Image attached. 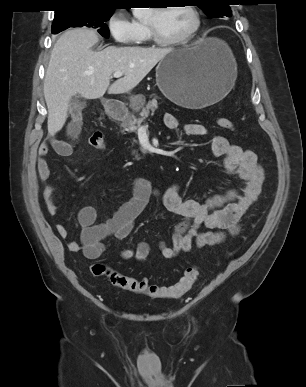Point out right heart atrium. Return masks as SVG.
Instances as JSON below:
<instances>
[{
  "label": "right heart atrium",
  "instance_id": "1",
  "mask_svg": "<svg viewBox=\"0 0 306 387\" xmlns=\"http://www.w3.org/2000/svg\"><path fill=\"white\" fill-rule=\"evenodd\" d=\"M107 28L114 41L119 44L128 45L137 40L136 23L122 12H115L109 17Z\"/></svg>",
  "mask_w": 306,
  "mask_h": 387
}]
</instances>
